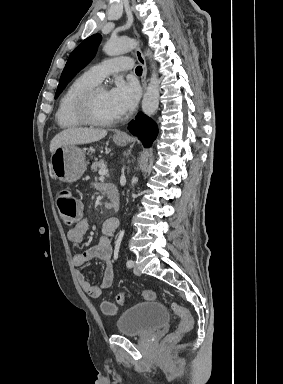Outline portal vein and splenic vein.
Segmentation results:
<instances>
[{
	"mask_svg": "<svg viewBox=\"0 0 283 384\" xmlns=\"http://www.w3.org/2000/svg\"><path fill=\"white\" fill-rule=\"evenodd\" d=\"M98 174L100 178H104V176H107L108 170H99Z\"/></svg>",
	"mask_w": 283,
	"mask_h": 384,
	"instance_id": "obj_1",
	"label": "portal vein and splenic vein"
}]
</instances>
